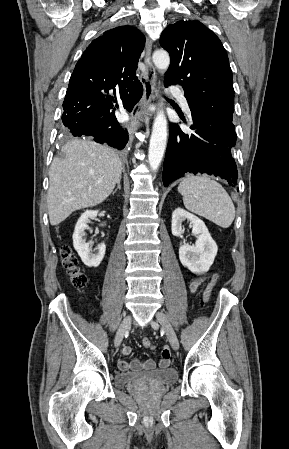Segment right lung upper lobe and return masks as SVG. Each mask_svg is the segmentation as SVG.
<instances>
[{
  "label": "right lung upper lobe",
  "mask_w": 289,
  "mask_h": 449,
  "mask_svg": "<svg viewBox=\"0 0 289 449\" xmlns=\"http://www.w3.org/2000/svg\"><path fill=\"white\" fill-rule=\"evenodd\" d=\"M145 37L135 27L119 26L94 39L75 65L78 80L114 85L136 78L135 71Z\"/></svg>",
  "instance_id": "cb5924a9"
}]
</instances>
